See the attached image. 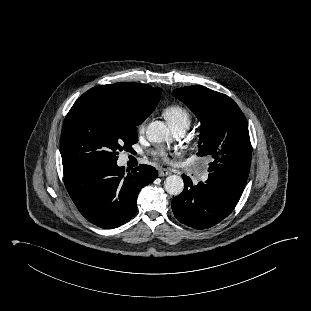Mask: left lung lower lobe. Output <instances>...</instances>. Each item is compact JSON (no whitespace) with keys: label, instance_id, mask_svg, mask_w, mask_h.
Masks as SVG:
<instances>
[{"label":"left lung lower lobe","instance_id":"obj_1","mask_svg":"<svg viewBox=\"0 0 311 311\" xmlns=\"http://www.w3.org/2000/svg\"><path fill=\"white\" fill-rule=\"evenodd\" d=\"M185 183L181 194L172 200V210L181 223L195 229L210 228L226 218L237 205L247 179L210 172L205 182L193 185L183 175Z\"/></svg>","mask_w":311,"mask_h":311}]
</instances>
